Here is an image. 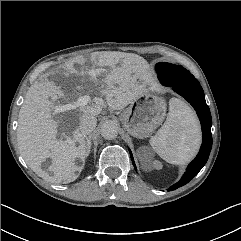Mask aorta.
Wrapping results in <instances>:
<instances>
[{
	"mask_svg": "<svg viewBox=\"0 0 241 241\" xmlns=\"http://www.w3.org/2000/svg\"><path fill=\"white\" fill-rule=\"evenodd\" d=\"M119 126L115 121L107 120L101 125V135L104 139L112 140L117 137Z\"/></svg>",
	"mask_w": 241,
	"mask_h": 241,
	"instance_id": "obj_1",
	"label": "aorta"
}]
</instances>
